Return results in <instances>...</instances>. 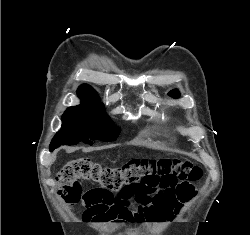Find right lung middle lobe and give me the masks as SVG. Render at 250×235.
I'll use <instances>...</instances> for the list:
<instances>
[{"instance_id": "obj_1", "label": "right lung middle lobe", "mask_w": 250, "mask_h": 235, "mask_svg": "<svg viewBox=\"0 0 250 235\" xmlns=\"http://www.w3.org/2000/svg\"><path fill=\"white\" fill-rule=\"evenodd\" d=\"M104 114L101 103H82L68 108L62 116V129L54 136L50 146L72 145L84 142L92 145L94 141H114L120 134Z\"/></svg>"}]
</instances>
